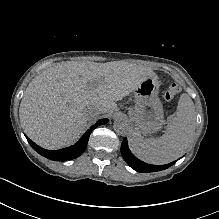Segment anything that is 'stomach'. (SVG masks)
<instances>
[{
  "mask_svg": "<svg viewBox=\"0 0 219 219\" xmlns=\"http://www.w3.org/2000/svg\"><path fill=\"white\" fill-rule=\"evenodd\" d=\"M159 87L156 78L147 77L133 91L135 107L130 115L137 129L144 134L158 131L164 124L163 106L158 97Z\"/></svg>",
  "mask_w": 219,
  "mask_h": 219,
  "instance_id": "stomach-1",
  "label": "stomach"
}]
</instances>
